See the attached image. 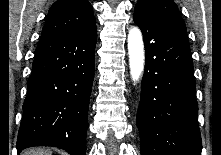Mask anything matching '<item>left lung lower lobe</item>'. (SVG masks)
I'll use <instances>...</instances> for the list:
<instances>
[{
    "instance_id": "0a47b994",
    "label": "left lung lower lobe",
    "mask_w": 221,
    "mask_h": 155,
    "mask_svg": "<svg viewBox=\"0 0 221 155\" xmlns=\"http://www.w3.org/2000/svg\"><path fill=\"white\" fill-rule=\"evenodd\" d=\"M145 45L137 126L141 155H201L196 82L186 30L135 8Z\"/></svg>"
}]
</instances>
